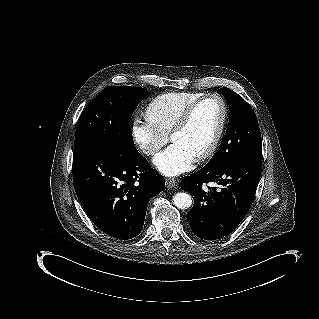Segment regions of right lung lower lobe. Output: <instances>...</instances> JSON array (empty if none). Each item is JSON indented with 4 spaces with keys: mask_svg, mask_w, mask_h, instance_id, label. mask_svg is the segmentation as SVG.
Masks as SVG:
<instances>
[{
    "mask_svg": "<svg viewBox=\"0 0 319 319\" xmlns=\"http://www.w3.org/2000/svg\"><path fill=\"white\" fill-rule=\"evenodd\" d=\"M73 182L92 222L122 240L142 231L150 199L165 190L164 178L135 148L115 143L75 148Z\"/></svg>",
    "mask_w": 319,
    "mask_h": 319,
    "instance_id": "1",
    "label": "right lung lower lobe"
}]
</instances>
